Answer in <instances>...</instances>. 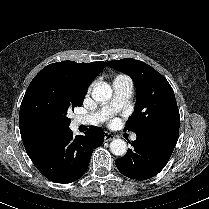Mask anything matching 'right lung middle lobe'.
<instances>
[{"label": "right lung middle lobe", "instance_id": "obj_1", "mask_svg": "<svg viewBox=\"0 0 209 209\" xmlns=\"http://www.w3.org/2000/svg\"><path fill=\"white\" fill-rule=\"evenodd\" d=\"M86 94L80 74L70 68L46 66L31 81L19 117L46 131L69 129L67 112L81 106Z\"/></svg>", "mask_w": 209, "mask_h": 209}]
</instances>
